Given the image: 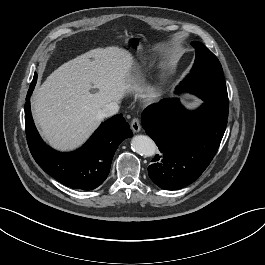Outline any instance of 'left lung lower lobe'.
<instances>
[{
	"label": "left lung lower lobe",
	"instance_id": "left-lung-lower-lobe-1",
	"mask_svg": "<svg viewBox=\"0 0 265 265\" xmlns=\"http://www.w3.org/2000/svg\"><path fill=\"white\" fill-rule=\"evenodd\" d=\"M228 113L205 102L194 112L177 99H163L142 113V126L163 156L148 167L160 188L176 190L195 181L215 156L223 138Z\"/></svg>",
	"mask_w": 265,
	"mask_h": 265
}]
</instances>
